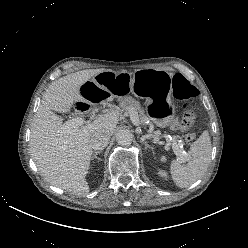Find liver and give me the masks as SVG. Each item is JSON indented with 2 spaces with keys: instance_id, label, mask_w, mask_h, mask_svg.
<instances>
[{
  "instance_id": "liver-1",
  "label": "liver",
  "mask_w": 248,
  "mask_h": 248,
  "mask_svg": "<svg viewBox=\"0 0 248 248\" xmlns=\"http://www.w3.org/2000/svg\"><path fill=\"white\" fill-rule=\"evenodd\" d=\"M103 71L106 70L86 69L52 83L45 91L31 124L30 153L38 170L51 185L72 194H88L85 177L93 152L90 138L100 130L112 134L120 113L117 107H113L73 132L61 133L62 119L53 111L67 113L75 102L88 103L80 88Z\"/></svg>"
}]
</instances>
